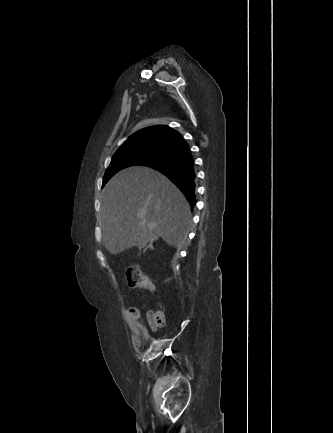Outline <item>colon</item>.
I'll return each mask as SVG.
<instances>
[{
  "label": "colon",
  "mask_w": 333,
  "mask_h": 433,
  "mask_svg": "<svg viewBox=\"0 0 333 433\" xmlns=\"http://www.w3.org/2000/svg\"><path fill=\"white\" fill-rule=\"evenodd\" d=\"M127 284L131 288H152V284L142 269L137 265H132L126 271ZM149 320L157 327H163L166 323L165 316L160 311H152Z\"/></svg>",
  "instance_id": "obj_1"
}]
</instances>
